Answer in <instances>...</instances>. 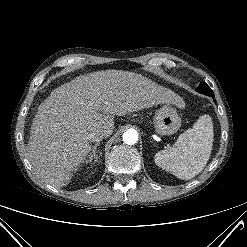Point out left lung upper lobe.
I'll return each mask as SVG.
<instances>
[{
	"mask_svg": "<svg viewBox=\"0 0 247 247\" xmlns=\"http://www.w3.org/2000/svg\"><path fill=\"white\" fill-rule=\"evenodd\" d=\"M197 91L202 93V94H205L207 96H210V97H213L214 96V93L213 91L211 90V88L206 84V82H202L200 83V86L197 88Z\"/></svg>",
	"mask_w": 247,
	"mask_h": 247,
	"instance_id": "obj_1",
	"label": "left lung upper lobe"
}]
</instances>
